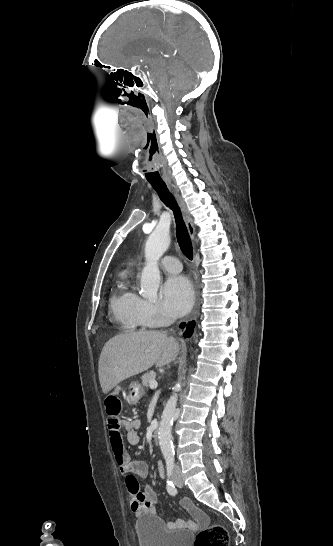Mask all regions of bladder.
<instances>
[{"label": "bladder", "mask_w": 333, "mask_h": 546, "mask_svg": "<svg viewBox=\"0 0 333 546\" xmlns=\"http://www.w3.org/2000/svg\"><path fill=\"white\" fill-rule=\"evenodd\" d=\"M140 546H190L193 535L190 531H170L162 520L151 514H143L134 525Z\"/></svg>", "instance_id": "1"}]
</instances>
